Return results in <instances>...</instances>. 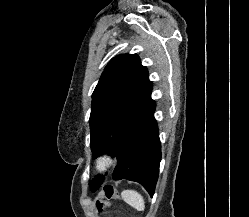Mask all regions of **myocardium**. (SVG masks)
<instances>
[{"mask_svg": "<svg viewBox=\"0 0 249 217\" xmlns=\"http://www.w3.org/2000/svg\"><path fill=\"white\" fill-rule=\"evenodd\" d=\"M115 156L110 152H102L94 162V168L97 172L102 173L109 170L115 162Z\"/></svg>", "mask_w": 249, "mask_h": 217, "instance_id": "f54148a6", "label": "myocardium"}]
</instances>
